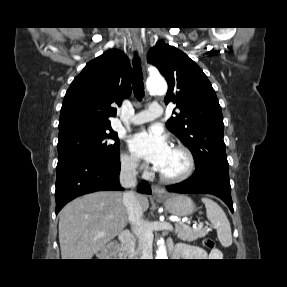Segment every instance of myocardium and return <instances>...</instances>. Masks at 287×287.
Masks as SVG:
<instances>
[{"label":"myocardium","instance_id":"obj_1","mask_svg":"<svg viewBox=\"0 0 287 287\" xmlns=\"http://www.w3.org/2000/svg\"><path fill=\"white\" fill-rule=\"evenodd\" d=\"M172 149L180 151L185 155L186 160H187L186 169L181 174H178V175H166L159 171V176L165 182H169V183L183 182L187 180L188 178H190L192 174L194 173L195 168H196V159H195L193 152L184 145H181V144L174 145L172 146Z\"/></svg>","mask_w":287,"mask_h":287}]
</instances>
